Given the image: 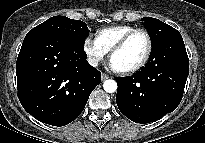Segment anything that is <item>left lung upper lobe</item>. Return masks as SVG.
<instances>
[{
  "mask_svg": "<svg viewBox=\"0 0 205 143\" xmlns=\"http://www.w3.org/2000/svg\"><path fill=\"white\" fill-rule=\"evenodd\" d=\"M142 20H144V26L148 30V33L151 37L152 47L156 46L160 41H162L168 35L178 33V31L175 28L167 25L166 23L156 18L145 17ZM152 60L153 58L149 57V60L145 65V67H148L150 61Z\"/></svg>",
  "mask_w": 205,
  "mask_h": 143,
  "instance_id": "left-lung-upper-lobe-1",
  "label": "left lung upper lobe"
}]
</instances>
